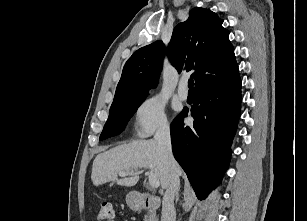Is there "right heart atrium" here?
<instances>
[{
	"instance_id": "obj_1",
	"label": "right heart atrium",
	"mask_w": 307,
	"mask_h": 221,
	"mask_svg": "<svg viewBox=\"0 0 307 221\" xmlns=\"http://www.w3.org/2000/svg\"><path fill=\"white\" fill-rule=\"evenodd\" d=\"M135 129L142 138L168 129L165 104L161 97L153 95L140 103L135 111Z\"/></svg>"
}]
</instances>
